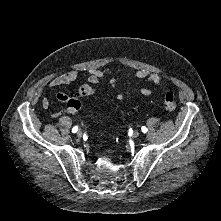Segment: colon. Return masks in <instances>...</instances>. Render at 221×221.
I'll use <instances>...</instances> for the list:
<instances>
[{
  "label": "colon",
  "instance_id": "1",
  "mask_svg": "<svg viewBox=\"0 0 221 221\" xmlns=\"http://www.w3.org/2000/svg\"><path fill=\"white\" fill-rule=\"evenodd\" d=\"M95 91L93 85H84L79 90V97H75L71 101V106L74 110H77L81 107V97H86L91 95ZM164 107L167 111L172 112L176 108V97L173 92H167L164 96Z\"/></svg>",
  "mask_w": 221,
  "mask_h": 221
}]
</instances>
